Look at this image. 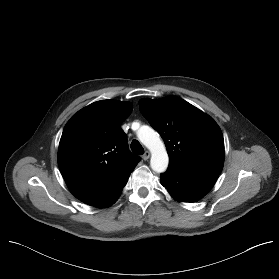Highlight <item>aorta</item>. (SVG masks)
I'll return each mask as SVG.
<instances>
[{
	"instance_id": "aorta-1",
	"label": "aorta",
	"mask_w": 279,
	"mask_h": 279,
	"mask_svg": "<svg viewBox=\"0 0 279 279\" xmlns=\"http://www.w3.org/2000/svg\"><path fill=\"white\" fill-rule=\"evenodd\" d=\"M137 136L151 152V169L157 173L165 172L168 167L169 157L165 145L157 132L148 126H142L137 131Z\"/></svg>"
}]
</instances>
